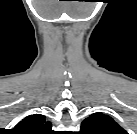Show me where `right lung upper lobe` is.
<instances>
[{
	"label": "right lung upper lobe",
	"instance_id": "1",
	"mask_svg": "<svg viewBox=\"0 0 137 134\" xmlns=\"http://www.w3.org/2000/svg\"><path fill=\"white\" fill-rule=\"evenodd\" d=\"M51 122L44 115H29L20 121L13 131L17 134H52Z\"/></svg>",
	"mask_w": 137,
	"mask_h": 134
}]
</instances>
